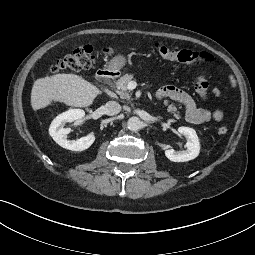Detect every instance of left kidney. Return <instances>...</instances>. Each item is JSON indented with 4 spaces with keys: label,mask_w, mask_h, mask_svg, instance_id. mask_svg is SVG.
I'll use <instances>...</instances> for the list:
<instances>
[{
    "label": "left kidney",
    "mask_w": 255,
    "mask_h": 255,
    "mask_svg": "<svg viewBox=\"0 0 255 255\" xmlns=\"http://www.w3.org/2000/svg\"><path fill=\"white\" fill-rule=\"evenodd\" d=\"M178 132L187 139L186 150L175 151L174 149L165 150L166 157L173 162H186L195 159L200 152V142L196 131L190 127H179Z\"/></svg>",
    "instance_id": "obj_1"
}]
</instances>
